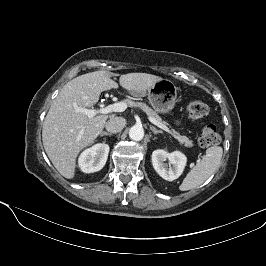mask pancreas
<instances>
[{"label": "pancreas", "instance_id": "obj_1", "mask_svg": "<svg viewBox=\"0 0 266 266\" xmlns=\"http://www.w3.org/2000/svg\"><path fill=\"white\" fill-rule=\"evenodd\" d=\"M124 102L129 107H138V108L142 109L149 117L154 118L157 122L166 126V123L162 120V118L153 109H151L149 106H147L145 103L134 102L130 99H126V100H124ZM177 135L180 137V139H179L180 143L184 144L186 147H192L193 146V142L189 138H187L186 136H181L179 134H177Z\"/></svg>", "mask_w": 266, "mask_h": 266}]
</instances>
